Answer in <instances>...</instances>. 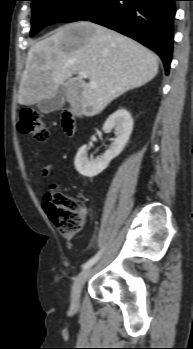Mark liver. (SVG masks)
<instances>
[{
	"label": "liver",
	"instance_id": "liver-1",
	"mask_svg": "<svg viewBox=\"0 0 193 349\" xmlns=\"http://www.w3.org/2000/svg\"><path fill=\"white\" fill-rule=\"evenodd\" d=\"M158 56L136 41L91 22H75L28 51L18 103L33 105L57 95L61 86L77 117L94 116L125 92L151 81ZM86 72L95 89L73 77Z\"/></svg>",
	"mask_w": 193,
	"mask_h": 349
}]
</instances>
